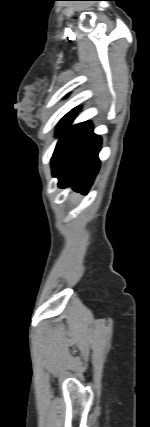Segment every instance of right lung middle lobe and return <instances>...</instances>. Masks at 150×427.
Instances as JSON below:
<instances>
[{
  "instance_id": "right-lung-middle-lobe-1",
  "label": "right lung middle lobe",
  "mask_w": 150,
  "mask_h": 427,
  "mask_svg": "<svg viewBox=\"0 0 150 427\" xmlns=\"http://www.w3.org/2000/svg\"><path fill=\"white\" fill-rule=\"evenodd\" d=\"M78 110H72L68 114H66L63 119L60 121L58 125V131L57 135H61L69 126V124L73 121V119L76 117Z\"/></svg>"
}]
</instances>
